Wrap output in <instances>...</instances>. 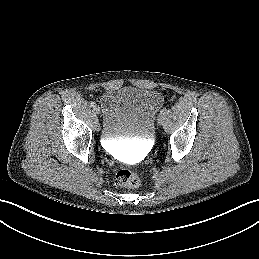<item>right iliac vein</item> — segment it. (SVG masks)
Returning <instances> with one entry per match:
<instances>
[{
  "mask_svg": "<svg viewBox=\"0 0 259 259\" xmlns=\"http://www.w3.org/2000/svg\"><path fill=\"white\" fill-rule=\"evenodd\" d=\"M93 110H94V112H95L96 114H99V113H100V109H99L98 106H94ZM97 127H98V126H97Z\"/></svg>",
  "mask_w": 259,
  "mask_h": 259,
  "instance_id": "63e3f726",
  "label": "right iliac vein"
}]
</instances>
